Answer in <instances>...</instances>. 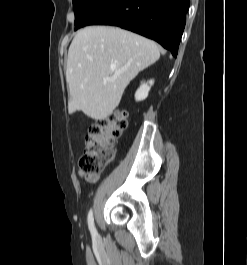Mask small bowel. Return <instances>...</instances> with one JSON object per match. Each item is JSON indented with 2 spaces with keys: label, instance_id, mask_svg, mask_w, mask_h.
<instances>
[{
  "label": "small bowel",
  "instance_id": "1",
  "mask_svg": "<svg viewBox=\"0 0 247 265\" xmlns=\"http://www.w3.org/2000/svg\"><path fill=\"white\" fill-rule=\"evenodd\" d=\"M80 176L88 182L94 183L98 180V175H88L83 171L80 172Z\"/></svg>",
  "mask_w": 247,
  "mask_h": 265
}]
</instances>
